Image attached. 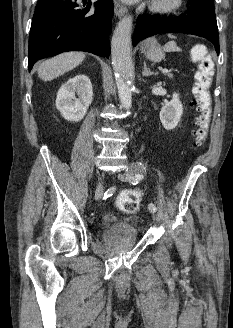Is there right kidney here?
<instances>
[{"label":"right kidney","mask_w":233,"mask_h":328,"mask_svg":"<svg viewBox=\"0 0 233 328\" xmlns=\"http://www.w3.org/2000/svg\"><path fill=\"white\" fill-rule=\"evenodd\" d=\"M92 100L90 79L84 74H78L61 86L57 93L56 107L64 119L78 122L84 118Z\"/></svg>","instance_id":"1"}]
</instances>
